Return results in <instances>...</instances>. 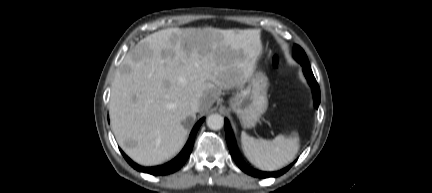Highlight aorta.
<instances>
[{
    "label": "aorta",
    "instance_id": "obj_1",
    "mask_svg": "<svg viewBox=\"0 0 432 193\" xmlns=\"http://www.w3.org/2000/svg\"><path fill=\"white\" fill-rule=\"evenodd\" d=\"M206 123L211 130H220L224 125V118L220 114H211L207 117Z\"/></svg>",
    "mask_w": 432,
    "mask_h": 193
}]
</instances>
